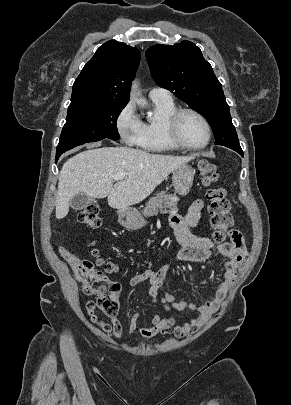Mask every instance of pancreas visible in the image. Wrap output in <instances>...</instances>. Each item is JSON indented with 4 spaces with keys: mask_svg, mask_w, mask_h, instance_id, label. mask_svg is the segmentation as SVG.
<instances>
[{
    "mask_svg": "<svg viewBox=\"0 0 291 405\" xmlns=\"http://www.w3.org/2000/svg\"><path fill=\"white\" fill-rule=\"evenodd\" d=\"M177 198L174 195H168L166 192L155 194L147 202L143 214L144 216H153L161 212L162 214L170 213L177 209Z\"/></svg>",
    "mask_w": 291,
    "mask_h": 405,
    "instance_id": "obj_1",
    "label": "pancreas"
}]
</instances>
